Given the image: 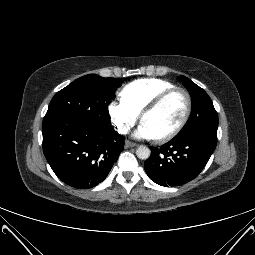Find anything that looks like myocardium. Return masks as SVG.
<instances>
[{
	"label": "myocardium",
	"instance_id": "obj_1",
	"mask_svg": "<svg viewBox=\"0 0 255 255\" xmlns=\"http://www.w3.org/2000/svg\"><path fill=\"white\" fill-rule=\"evenodd\" d=\"M176 92H181L185 96L186 109H185L184 115H183L182 119L180 120V122L178 123V125L173 130H171L170 132H168L167 134H165L163 136L155 138L156 141H158V142H167V141L173 139L182 131V129L187 124L189 117L191 115V111H192V98H191L190 93L182 87L170 88V89L160 93L158 96H156L141 112V121L143 122L144 118L148 114H150L151 112L156 110L169 96H171L172 94H174Z\"/></svg>",
	"mask_w": 255,
	"mask_h": 255
}]
</instances>
